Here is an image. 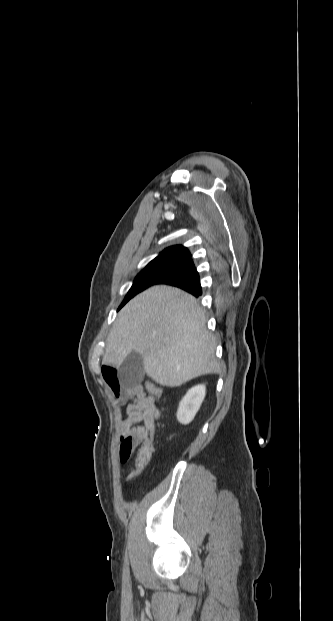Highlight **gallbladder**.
Returning a JSON list of instances; mask_svg holds the SVG:
<instances>
[{
    "label": "gallbladder",
    "instance_id": "bac80fb5",
    "mask_svg": "<svg viewBox=\"0 0 333 621\" xmlns=\"http://www.w3.org/2000/svg\"><path fill=\"white\" fill-rule=\"evenodd\" d=\"M145 375L143 359L137 352H131L118 368L117 377L119 382L132 387L142 382Z\"/></svg>",
    "mask_w": 333,
    "mask_h": 621
}]
</instances>
